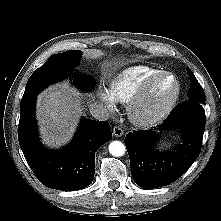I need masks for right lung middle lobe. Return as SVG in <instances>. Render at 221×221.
I'll list each match as a JSON object with an SVG mask.
<instances>
[{
    "instance_id": "obj_1",
    "label": "right lung middle lobe",
    "mask_w": 221,
    "mask_h": 221,
    "mask_svg": "<svg viewBox=\"0 0 221 221\" xmlns=\"http://www.w3.org/2000/svg\"><path fill=\"white\" fill-rule=\"evenodd\" d=\"M81 52L74 50L52 55L50 58L30 76L21 104L34 98L39 91L52 82L63 79L72 74V68L79 62ZM77 85L84 88H93L95 83L91 78L75 80Z\"/></svg>"
}]
</instances>
